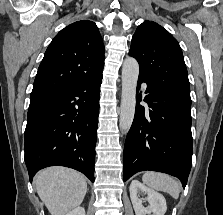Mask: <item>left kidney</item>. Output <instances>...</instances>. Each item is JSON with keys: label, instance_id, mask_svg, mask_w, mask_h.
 Here are the masks:
<instances>
[{"label": "left kidney", "instance_id": "obj_1", "mask_svg": "<svg viewBox=\"0 0 223 215\" xmlns=\"http://www.w3.org/2000/svg\"><path fill=\"white\" fill-rule=\"evenodd\" d=\"M140 191H145V193H147V197H145V199L146 201H149V207H144V205H142L143 201L137 195ZM130 197L136 215H146V213H151V211H153V215H164L167 209L164 195H162V193H158L155 189L146 187V185L140 183L138 179H133L130 183Z\"/></svg>", "mask_w": 223, "mask_h": 215}]
</instances>
